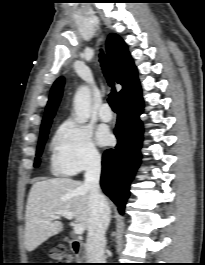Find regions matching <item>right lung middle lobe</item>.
<instances>
[{"instance_id":"obj_1","label":"right lung middle lobe","mask_w":205,"mask_h":265,"mask_svg":"<svg viewBox=\"0 0 205 265\" xmlns=\"http://www.w3.org/2000/svg\"><path fill=\"white\" fill-rule=\"evenodd\" d=\"M49 127L50 126L43 128L40 132V138H39V143H38L37 152H36L37 157L35 159L34 167H38V165L40 163L39 156H41L45 141L47 139Z\"/></svg>"}]
</instances>
